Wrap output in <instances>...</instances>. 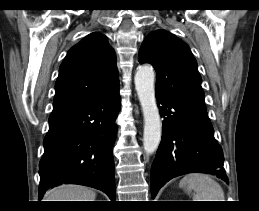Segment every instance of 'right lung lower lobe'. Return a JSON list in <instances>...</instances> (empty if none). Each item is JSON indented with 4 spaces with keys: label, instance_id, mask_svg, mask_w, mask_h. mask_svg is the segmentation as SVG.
<instances>
[{
    "label": "right lung lower lobe",
    "instance_id": "1",
    "mask_svg": "<svg viewBox=\"0 0 259 211\" xmlns=\"http://www.w3.org/2000/svg\"><path fill=\"white\" fill-rule=\"evenodd\" d=\"M119 90L91 103L53 111L39 164V199L62 183L90 186L115 200L112 148Z\"/></svg>",
    "mask_w": 259,
    "mask_h": 211
}]
</instances>
